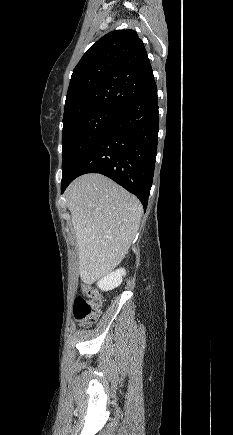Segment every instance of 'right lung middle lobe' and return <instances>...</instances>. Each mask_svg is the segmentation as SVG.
<instances>
[{"mask_svg":"<svg viewBox=\"0 0 233 435\" xmlns=\"http://www.w3.org/2000/svg\"><path fill=\"white\" fill-rule=\"evenodd\" d=\"M120 112V109L100 107L63 121L62 179Z\"/></svg>","mask_w":233,"mask_h":435,"instance_id":"1","label":"right lung middle lobe"}]
</instances>
